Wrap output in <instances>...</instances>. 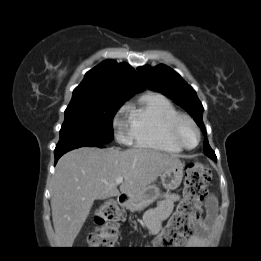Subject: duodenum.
Segmentation results:
<instances>
[{
	"mask_svg": "<svg viewBox=\"0 0 261 261\" xmlns=\"http://www.w3.org/2000/svg\"><path fill=\"white\" fill-rule=\"evenodd\" d=\"M128 201V197L126 194H121L118 198V203L122 206L125 207L126 203Z\"/></svg>",
	"mask_w": 261,
	"mask_h": 261,
	"instance_id": "1",
	"label": "duodenum"
}]
</instances>
